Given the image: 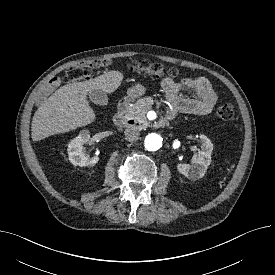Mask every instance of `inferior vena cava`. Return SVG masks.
<instances>
[{"mask_svg": "<svg viewBox=\"0 0 275 275\" xmlns=\"http://www.w3.org/2000/svg\"><path fill=\"white\" fill-rule=\"evenodd\" d=\"M125 136L129 142L138 140L139 128L137 126H127L125 129Z\"/></svg>", "mask_w": 275, "mask_h": 275, "instance_id": "inferior-vena-cava-1", "label": "inferior vena cava"}]
</instances>
